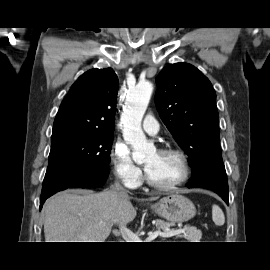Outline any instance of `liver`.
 <instances>
[{"instance_id": "liver-1", "label": "liver", "mask_w": 270, "mask_h": 270, "mask_svg": "<svg viewBox=\"0 0 270 270\" xmlns=\"http://www.w3.org/2000/svg\"><path fill=\"white\" fill-rule=\"evenodd\" d=\"M44 214L45 242H105L112 226L130 223L136 210L128 195L84 190L56 194L46 202Z\"/></svg>"}]
</instances>
